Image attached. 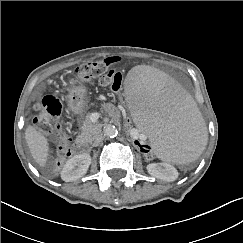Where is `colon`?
<instances>
[{
  "label": "colon",
  "mask_w": 243,
  "mask_h": 243,
  "mask_svg": "<svg viewBox=\"0 0 243 243\" xmlns=\"http://www.w3.org/2000/svg\"><path fill=\"white\" fill-rule=\"evenodd\" d=\"M121 61V57L111 56L103 60L82 64L77 67L74 77L69 80V85L76 87L97 79L101 85L108 86L114 92H119L122 87L123 75L117 66ZM117 103L123 104L124 98L118 97ZM35 111L36 116L33 122L39 131L49 133L56 130L57 132L60 145L57 150L56 164L60 167L72 154L69 136L63 130L60 120L61 101L54 95H46L36 103ZM123 126L122 134L125 136V143L136 148L137 152L147 155L148 158H155L156 153L151 149L150 144L132 137L133 128L129 110L123 111Z\"/></svg>",
  "instance_id": "5ec220e1"
}]
</instances>
